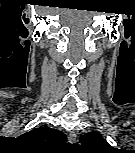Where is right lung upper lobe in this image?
Returning <instances> with one entry per match:
<instances>
[{
  "label": "right lung upper lobe",
  "instance_id": "cb5924a9",
  "mask_svg": "<svg viewBox=\"0 0 135 153\" xmlns=\"http://www.w3.org/2000/svg\"><path fill=\"white\" fill-rule=\"evenodd\" d=\"M19 138L27 143L35 144L38 146H46L57 141H66V135L63 132L44 127L35 128L21 135Z\"/></svg>",
  "mask_w": 135,
  "mask_h": 153
}]
</instances>
